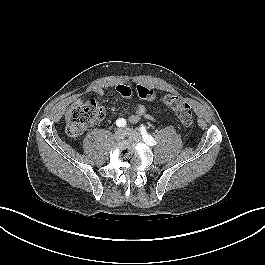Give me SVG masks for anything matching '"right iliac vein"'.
<instances>
[{
	"label": "right iliac vein",
	"instance_id": "right-iliac-vein-1",
	"mask_svg": "<svg viewBox=\"0 0 265 265\" xmlns=\"http://www.w3.org/2000/svg\"><path fill=\"white\" fill-rule=\"evenodd\" d=\"M126 136V132L123 129H118L116 130V132L114 133V139L116 141H122Z\"/></svg>",
	"mask_w": 265,
	"mask_h": 265
}]
</instances>
